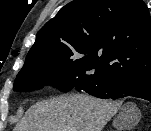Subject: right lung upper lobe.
<instances>
[{
  "instance_id": "1",
  "label": "right lung upper lobe",
  "mask_w": 151,
  "mask_h": 131,
  "mask_svg": "<svg viewBox=\"0 0 151 131\" xmlns=\"http://www.w3.org/2000/svg\"><path fill=\"white\" fill-rule=\"evenodd\" d=\"M75 45L106 79L151 77V18L142 0H74L37 33L32 47Z\"/></svg>"
}]
</instances>
